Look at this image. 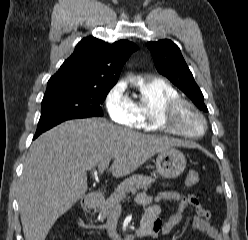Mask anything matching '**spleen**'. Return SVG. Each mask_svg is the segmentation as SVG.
I'll list each match as a JSON object with an SVG mask.
<instances>
[{
  "label": "spleen",
  "mask_w": 248,
  "mask_h": 240,
  "mask_svg": "<svg viewBox=\"0 0 248 240\" xmlns=\"http://www.w3.org/2000/svg\"><path fill=\"white\" fill-rule=\"evenodd\" d=\"M217 191L220 193V192H221V189L218 187V188H217Z\"/></svg>",
  "instance_id": "spleen-1"
}]
</instances>
